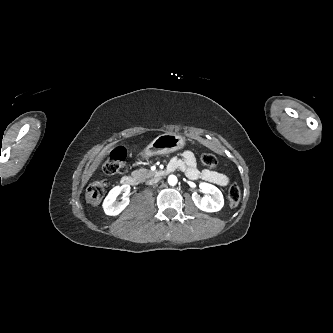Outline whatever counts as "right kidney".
Returning a JSON list of instances; mask_svg holds the SVG:
<instances>
[{
  "mask_svg": "<svg viewBox=\"0 0 333 333\" xmlns=\"http://www.w3.org/2000/svg\"><path fill=\"white\" fill-rule=\"evenodd\" d=\"M123 193V199L120 202H116L119 194ZM129 194H130V186L122 185L116 186L106 196L103 202V209L107 215L115 216L121 213L125 207L129 204Z\"/></svg>",
  "mask_w": 333,
  "mask_h": 333,
  "instance_id": "ca27d5eb",
  "label": "right kidney"
}]
</instances>
